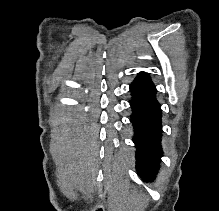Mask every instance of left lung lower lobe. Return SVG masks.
<instances>
[{
	"mask_svg": "<svg viewBox=\"0 0 219 211\" xmlns=\"http://www.w3.org/2000/svg\"><path fill=\"white\" fill-rule=\"evenodd\" d=\"M130 91L137 173L147 182L157 174L162 156L161 109L156 99V87L149 74L140 72L130 85Z\"/></svg>",
	"mask_w": 219,
	"mask_h": 211,
	"instance_id": "1",
	"label": "left lung lower lobe"
}]
</instances>
